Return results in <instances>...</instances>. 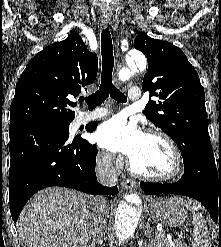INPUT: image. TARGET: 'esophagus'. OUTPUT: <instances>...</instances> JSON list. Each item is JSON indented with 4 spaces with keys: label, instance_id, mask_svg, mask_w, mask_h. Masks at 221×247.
Here are the masks:
<instances>
[{
    "label": "esophagus",
    "instance_id": "obj_1",
    "mask_svg": "<svg viewBox=\"0 0 221 247\" xmlns=\"http://www.w3.org/2000/svg\"><path fill=\"white\" fill-rule=\"evenodd\" d=\"M110 18L109 17H103L101 20V25L103 28H106L109 24ZM122 187L125 189H136L137 188V183L135 180L132 179H127L122 182Z\"/></svg>",
    "mask_w": 221,
    "mask_h": 247
}]
</instances>
